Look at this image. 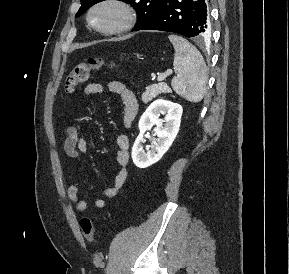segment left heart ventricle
Masks as SVG:
<instances>
[{
  "mask_svg": "<svg viewBox=\"0 0 289 274\" xmlns=\"http://www.w3.org/2000/svg\"><path fill=\"white\" fill-rule=\"evenodd\" d=\"M120 20V13L113 7H102L97 9L92 15V22L100 28H109L117 24Z\"/></svg>",
  "mask_w": 289,
  "mask_h": 274,
  "instance_id": "obj_1",
  "label": "left heart ventricle"
}]
</instances>
